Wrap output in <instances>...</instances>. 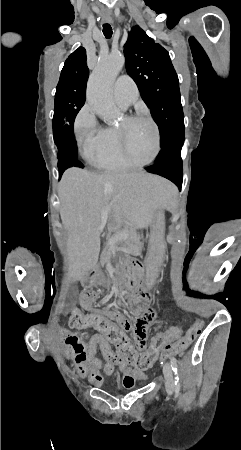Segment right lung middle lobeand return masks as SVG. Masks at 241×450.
<instances>
[{
	"instance_id": "obj_1",
	"label": "right lung middle lobe",
	"mask_w": 241,
	"mask_h": 450,
	"mask_svg": "<svg viewBox=\"0 0 241 450\" xmlns=\"http://www.w3.org/2000/svg\"><path fill=\"white\" fill-rule=\"evenodd\" d=\"M87 82L58 83L55 93V108L52 120L54 140L58 148V170L60 175L70 168L67 154L68 130L85 103Z\"/></svg>"
}]
</instances>
